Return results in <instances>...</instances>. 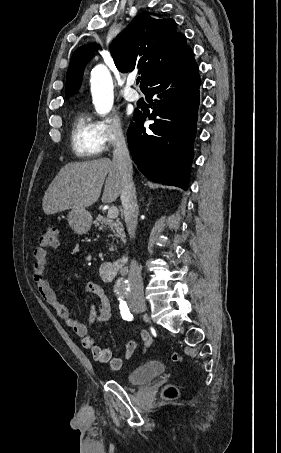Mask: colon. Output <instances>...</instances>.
Wrapping results in <instances>:
<instances>
[{"instance_id":"1","label":"colon","mask_w":281,"mask_h":453,"mask_svg":"<svg viewBox=\"0 0 281 453\" xmlns=\"http://www.w3.org/2000/svg\"><path fill=\"white\" fill-rule=\"evenodd\" d=\"M60 226H47L45 232L39 239V247H43L45 251L48 249H54L57 244V237L60 233ZM172 361L177 364H183L185 357L180 352H173L171 354ZM177 391L173 387H166L162 392V398L165 400H172L176 398Z\"/></svg>"}]
</instances>
